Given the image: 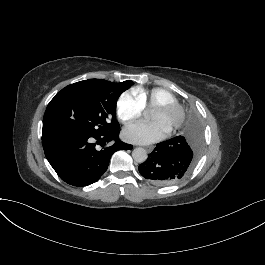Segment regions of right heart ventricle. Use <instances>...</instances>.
<instances>
[{"instance_id": "right-heart-ventricle-1", "label": "right heart ventricle", "mask_w": 265, "mask_h": 265, "mask_svg": "<svg viewBox=\"0 0 265 265\" xmlns=\"http://www.w3.org/2000/svg\"><path fill=\"white\" fill-rule=\"evenodd\" d=\"M135 94L141 99L145 108L148 109H154L155 106L165 101H176L173 94L163 88H154L150 91L137 89Z\"/></svg>"}]
</instances>
